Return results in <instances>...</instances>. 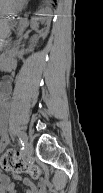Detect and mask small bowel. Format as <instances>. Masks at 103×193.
I'll use <instances>...</instances> for the list:
<instances>
[{
	"mask_svg": "<svg viewBox=\"0 0 103 193\" xmlns=\"http://www.w3.org/2000/svg\"><path fill=\"white\" fill-rule=\"evenodd\" d=\"M1 134L0 148L3 149L8 144V136L4 123L1 125ZM16 179L20 180L21 178L16 176ZM22 182L25 186V193H49L51 186V182L48 179H42L37 185L28 178H23ZM0 186L3 193H17L16 185L11 182L10 177L6 174L0 175Z\"/></svg>",
	"mask_w": 103,
	"mask_h": 193,
	"instance_id": "1",
	"label": "small bowel"
}]
</instances>
